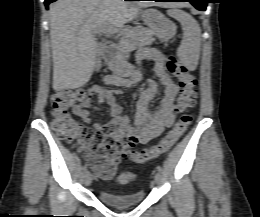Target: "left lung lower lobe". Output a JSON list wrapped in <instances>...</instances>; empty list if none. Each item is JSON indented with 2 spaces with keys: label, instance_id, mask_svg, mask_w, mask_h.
I'll return each instance as SVG.
<instances>
[{
  "label": "left lung lower lobe",
  "instance_id": "0a47b994",
  "mask_svg": "<svg viewBox=\"0 0 260 217\" xmlns=\"http://www.w3.org/2000/svg\"><path fill=\"white\" fill-rule=\"evenodd\" d=\"M156 2H190L193 6H195L198 10L205 11L208 0H153Z\"/></svg>",
  "mask_w": 260,
  "mask_h": 217
}]
</instances>
